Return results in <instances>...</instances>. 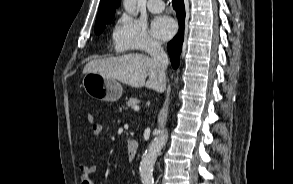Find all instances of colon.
<instances>
[{
	"instance_id": "colon-1",
	"label": "colon",
	"mask_w": 293,
	"mask_h": 184,
	"mask_svg": "<svg viewBox=\"0 0 293 184\" xmlns=\"http://www.w3.org/2000/svg\"><path fill=\"white\" fill-rule=\"evenodd\" d=\"M87 121L90 123V124H94L95 123V117L92 113H89L87 115Z\"/></svg>"
}]
</instances>
